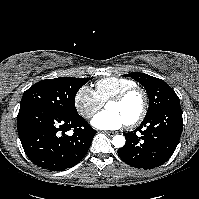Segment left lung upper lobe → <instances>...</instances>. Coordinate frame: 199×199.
<instances>
[{
    "mask_svg": "<svg viewBox=\"0 0 199 199\" xmlns=\"http://www.w3.org/2000/svg\"><path fill=\"white\" fill-rule=\"evenodd\" d=\"M124 76L133 78L146 89L149 97V107L145 118L168 106L180 104L174 90L163 80L140 72H133Z\"/></svg>",
    "mask_w": 199,
    "mask_h": 199,
    "instance_id": "left-lung-upper-lobe-1",
    "label": "left lung upper lobe"
}]
</instances>
